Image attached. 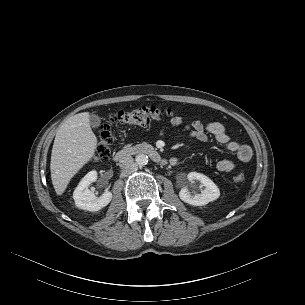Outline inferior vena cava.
Here are the masks:
<instances>
[{"label": "inferior vena cava", "instance_id": "obj_1", "mask_svg": "<svg viewBox=\"0 0 305 305\" xmlns=\"http://www.w3.org/2000/svg\"><path fill=\"white\" fill-rule=\"evenodd\" d=\"M133 157L126 155L120 158L119 160V166L121 169H131L133 167Z\"/></svg>", "mask_w": 305, "mask_h": 305}]
</instances>
